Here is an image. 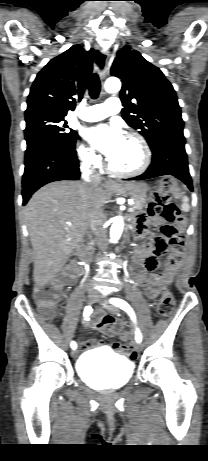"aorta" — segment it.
<instances>
[{
	"label": "aorta",
	"instance_id": "1",
	"mask_svg": "<svg viewBox=\"0 0 208 461\" xmlns=\"http://www.w3.org/2000/svg\"><path fill=\"white\" fill-rule=\"evenodd\" d=\"M105 91L108 93H117L121 89V82L118 78H109L105 81ZM124 219L122 216H116L113 218V223L110 228V240L112 243H117L123 232Z\"/></svg>",
	"mask_w": 208,
	"mask_h": 461
}]
</instances>
